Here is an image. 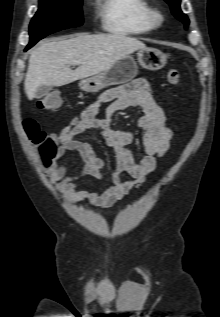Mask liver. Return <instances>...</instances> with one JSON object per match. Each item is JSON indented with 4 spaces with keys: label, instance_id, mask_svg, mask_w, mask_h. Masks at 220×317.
I'll return each instance as SVG.
<instances>
[{
    "label": "liver",
    "instance_id": "obj_1",
    "mask_svg": "<svg viewBox=\"0 0 220 317\" xmlns=\"http://www.w3.org/2000/svg\"><path fill=\"white\" fill-rule=\"evenodd\" d=\"M146 48L135 38L120 34H77L46 42L29 57L24 90L29 100L39 87L63 86L110 69L125 56ZM79 65L75 70L70 66Z\"/></svg>",
    "mask_w": 220,
    "mask_h": 317
}]
</instances>
